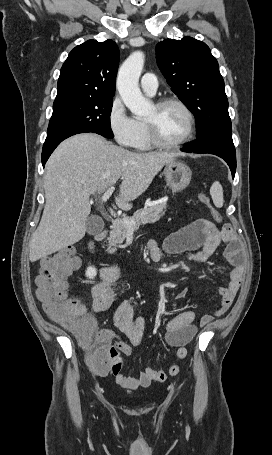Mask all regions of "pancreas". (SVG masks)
Returning <instances> with one entry per match:
<instances>
[{
  "mask_svg": "<svg viewBox=\"0 0 272 455\" xmlns=\"http://www.w3.org/2000/svg\"><path fill=\"white\" fill-rule=\"evenodd\" d=\"M166 203H161L158 205L145 207L143 209L137 210L132 217L126 218L127 220L134 221V224L129 229L122 222H117L113 224L110 236L108 237L109 247L107 251L110 254L116 252V248L120 247V244L123 243L129 231H135L139 228L140 225L155 223L160 220L165 215Z\"/></svg>",
  "mask_w": 272,
  "mask_h": 455,
  "instance_id": "pancreas-1",
  "label": "pancreas"
}]
</instances>
